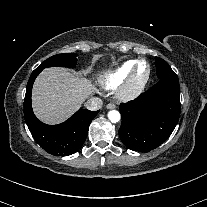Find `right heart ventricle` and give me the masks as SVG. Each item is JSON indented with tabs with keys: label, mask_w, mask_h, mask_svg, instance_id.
<instances>
[{
	"label": "right heart ventricle",
	"mask_w": 207,
	"mask_h": 207,
	"mask_svg": "<svg viewBox=\"0 0 207 207\" xmlns=\"http://www.w3.org/2000/svg\"><path fill=\"white\" fill-rule=\"evenodd\" d=\"M134 62L135 60H128L122 63L118 68H116L112 72L104 75L100 79V85L106 90H111L116 88L129 75L130 69L134 64Z\"/></svg>",
	"instance_id": "1"
}]
</instances>
